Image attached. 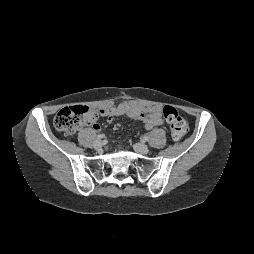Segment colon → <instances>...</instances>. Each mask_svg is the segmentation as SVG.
Segmentation results:
<instances>
[{"label":"colon","mask_w":254,"mask_h":254,"mask_svg":"<svg viewBox=\"0 0 254 254\" xmlns=\"http://www.w3.org/2000/svg\"><path fill=\"white\" fill-rule=\"evenodd\" d=\"M162 114L169 125L174 140H180L188 132V124L181 113L173 106L165 105ZM98 112L84 105L61 109L54 118L55 128L66 136L73 135L82 125L91 124L98 118Z\"/></svg>","instance_id":"1"}]
</instances>
